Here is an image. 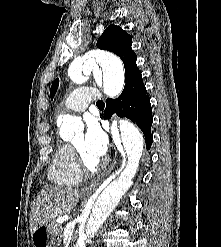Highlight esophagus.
<instances>
[{
    "mask_svg": "<svg viewBox=\"0 0 221 247\" xmlns=\"http://www.w3.org/2000/svg\"><path fill=\"white\" fill-rule=\"evenodd\" d=\"M113 167H114V163L111 164V166L109 167V169L105 173H103L101 176L93 179L90 183H88L86 186H84V188L82 189V192L87 193V192L94 190L100 184L103 177L105 175H108L111 172Z\"/></svg>",
    "mask_w": 221,
    "mask_h": 247,
    "instance_id": "34e87169",
    "label": "esophagus"
}]
</instances>
